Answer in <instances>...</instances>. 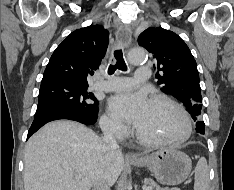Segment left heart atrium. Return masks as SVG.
Here are the masks:
<instances>
[{
	"label": "left heart atrium",
	"instance_id": "left-heart-atrium-1",
	"mask_svg": "<svg viewBox=\"0 0 234 190\" xmlns=\"http://www.w3.org/2000/svg\"><path fill=\"white\" fill-rule=\"evenodd\" d=\"M108 105L115 117L137 127L144 119L150 101L143 92H125L111 97Z\"/></svg>",
	"mask_w": 234,
	"mask_h": 190
}]
</instances>
